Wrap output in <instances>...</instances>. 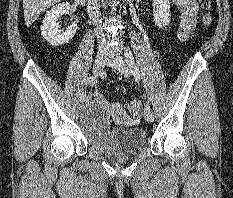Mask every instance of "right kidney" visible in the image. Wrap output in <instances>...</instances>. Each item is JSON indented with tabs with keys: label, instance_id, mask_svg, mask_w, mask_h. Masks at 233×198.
Wrapping results in <instances>:
<instances>
[{
	"label": "right kidney",
	"instance_id": "obj_1",
	"mask_svg": "<svg viewBox=\"0 0 233 198\" xmlns=\"http://www.w3.org/2000/svg\"><path fill=\"white\" fill-rule=\"evenodd\" d=\"M68 2L60 3L49 10L41 25V35L52 45L60 46L69 42L77 31V24L72 23L66 31L59 29L58 18L67 14L70 9Z\"/></svg>",
	"mask_w": 233,
	"mask_h": 198
}]
</instances>
